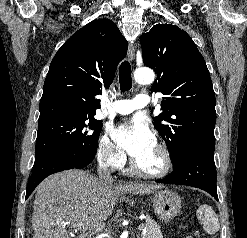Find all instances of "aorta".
Returning <instances> with one entry per match:
<instances>
[{
	"label": "aorta",
	"mask_w": 247,
	"mask_h": 238,
	"mask_svg": "<svg viewBox=\"0 0 247 238\" xmlns=\"http://www.w3.org/2000/svg\"><path fill=\"white\" fill-rule=\"evenodd\" d=\"M134 78L139 84H151L155 79V75L152 70L141 68L135 71Z\"/></svg>",
	"instance_id": "1"
}]
</instances>
